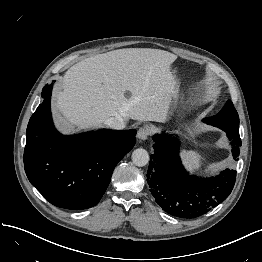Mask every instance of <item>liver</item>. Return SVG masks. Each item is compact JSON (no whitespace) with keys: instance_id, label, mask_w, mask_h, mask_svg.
Instances as JSON below:
<instances>
[{"instance_id":"liver-1","label":"liver","mask_w":262,"mask_h":262,"mask_svg":"<svg viewBox=\"0 0 262 262\" xmlns=\"http://www.w3.org/2000/svg\"><path fill=\"white\" fill-rule=\"evenodd\" d=\"M175 54L126 48L73 65L55 92L58 125L66 131L101 127L111 117L163 122L179 89ZM128 94V95H127Z\"/></svg>"}]
</instances>
